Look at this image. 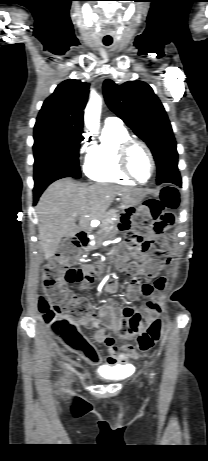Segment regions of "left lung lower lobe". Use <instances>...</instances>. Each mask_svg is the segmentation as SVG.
<instances>
[{"instance_id":"1","label":"left lung lower lobe","mask_w":208,"mask_h":461,"mask_svg":"<svg viewBox=\"0 0 208 461\" xmlns=\"http://www.w3.org/2000/svg\"><path fill=\"white\" fill-rule=\"evenodd\" d=\"M160 183H173V184H176L178 186H181L182 182H181L180 173L176 172V173H174L172 175H169L166 178L162 179L160 181Z\"/></svg>"}]
</instances>
